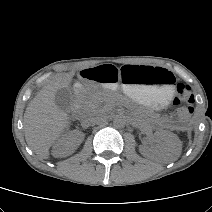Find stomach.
Segmentation results:
<instances>
[{
	"mask_svg": "<svg viewBox=\"0 0 212 212\" xmlns=\"http://www.w3.org/2000/svg\"><path fill=\"white\" fill-rule=\"evenodd\" d=\"M82 77L107 86L151 109L163 108L172 98L174 76L161 66H86Z\"/></svg>",
	"mask_w": 212,
	"mask_h": 212,
	"instance_id": "0dacf381",
	"label": "stomach"
}]
</instances>
